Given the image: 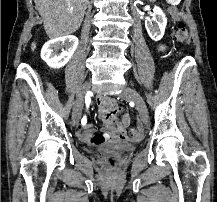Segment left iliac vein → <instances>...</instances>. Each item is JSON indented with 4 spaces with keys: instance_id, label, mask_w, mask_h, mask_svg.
Here are the masks:
<instances>
[{
    "instance_id": "4c4485c4",
    "label": "left iliac vein",
    "mask_w": 217,
    "mask_h": 202,
    "mask_svg": "<svg viewBox=\"0 0 217 202\" xmlns=\"http://www.w3.org/2000/svg\"><path fill=\"white\" fill-rule=\"evenodd\" d=\"M121 97L130 99L135 103L136 109L138 110L142 122L146 124L148 121V111L146 103L141 97L140 93L131 87H125L121 92Z\"/></svg>"
}]
</instances>
